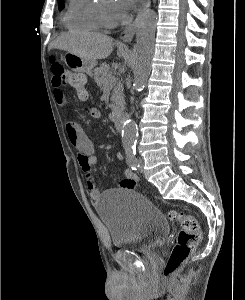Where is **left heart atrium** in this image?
I'll use <instances>...</instances> for the list:
<instances>
[{"instance_id": "1", "label": "left heart atrium", "mask_w": 245, "mask_h": 300, "mask_svg": "<svg viewBox=\"0 0 245 300\" xmlns=\"http://www.w3.org/2000/svg\"><path fill=\"white\" fill-rule=\"evenodd\" d=\"M140 0H120V5L122 9L117 15L119 18H124L130 10L139 2Z\"/></svg>"}]
</instances>
